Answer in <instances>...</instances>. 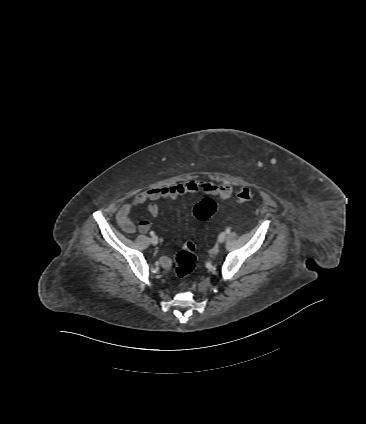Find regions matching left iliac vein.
I'll list each match as a JSON object with an SVG mask.
<instances>
[{"mask_svg":"<svg viewBox=\"0 0 366 424\" xmlns=\"http://www.w3.org/2000/svg\"><path fill=\"white\" fill-rule=\"evenodd\" d=\"M226 239V233L222 232L219 236H218V242L222 243L224 242Z\"/></svg>","mask_w":366,"mask_h":424,"instance_id":"1","label":"left iliac vein"}]
</instances>
